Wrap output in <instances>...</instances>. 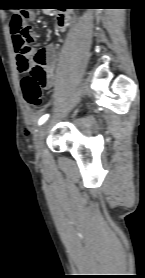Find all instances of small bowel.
<instances>
[{
    "mask_svg": "<svg viewBox=\"0 0 145 278\" xmlns=\"http://www.w3.org/2000/svg\"><path fill=\"white\" fill-rule=\"evenodd\" d=\"M45 13H48L49 10L46 8ZM36 17V11L34 8L30 11V18L34 19ZM58 28L66 32L69 30V16L66 14H59L56 18ZM11 33V32H10ZM12 37V34H11ZM38 39L37 34L34 31L28 33V40L30 43H36ZM13 40V37H12ZM15 59L17 63L18 71L22 74L28 73L33 66L35 65L34 57L41 55L42 59L45 62V71H46V81L43 85L44 88H49L54 82V71H55V57H56V48L53 43H48L44 47L37 48L35 54L32 58H28L23 53H18L14 45Z\"/></svg>",
    "mask_w": 145,
    "mask_h": 278,
    "instance_id": "obj_1",
    "label": "small bowel"
}]
</instances>
